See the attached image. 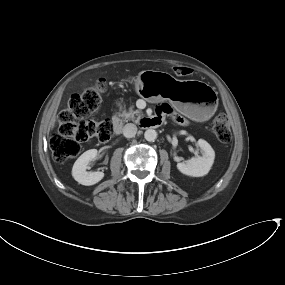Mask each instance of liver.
Here are the masks:
<instances>
[{
	"label": "liver",
	"mask_w": 285,
	"mask_h": 285,
	"mask_svg": "<svg viewBox=\"0 0 285 285\" xmlns=\"http://www.w3.org/2000/svg\"><path fill=\"white\" fill-rule=\"evenodd\" d=\"M54 122H55V119H53V121H52V125H54Z\"/></svg>",
	"instance_id": "liver-1"
}]
</instances>
